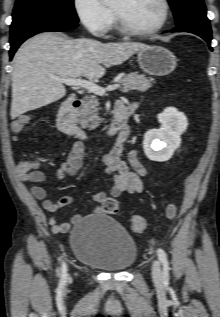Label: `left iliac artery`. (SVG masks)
I'll use <instances>...</instances> for the list:
<instances>
[{
    "label": "left iliac artery",
    "mask_w": 220,
    "mask_h": 317,
    "mask_svg": "<svg viewBox=\"0 0 220 317\" xmlns=\"http://www.w3.org/2000/svg\"><path fill=\"white\" fill-rule=\"evenodd\" d=\"M157 254H158V258H159L160 262L163 265V276H164V278H167L168 274H169V269H170L169 268V263H168V260H167V254L161 248H159L157 250Z\"/></svg>",
    "instance_id": "44dca946"
}]
</instances>
